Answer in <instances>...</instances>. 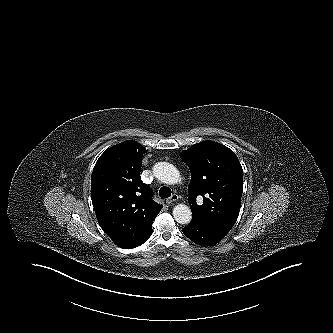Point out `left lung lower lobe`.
<instances>
[{"label": "left lung lower lobe", "mask_w": 333, "mask_h": 333, "mask_svg": "<svg viewBox=\"0 0 333 333\" xmlns=\"http://www.w3.org/2000/svg\"><path fill=\"white\" fill-rule=\"evenodd\" d=\"M183 233L196 244L210 246L220 242L228 232L192 218L191 222L183 228Z\"/></svg>", "instance_id": "obj_1"}]
</instances>
